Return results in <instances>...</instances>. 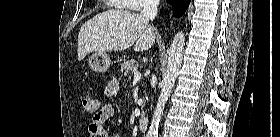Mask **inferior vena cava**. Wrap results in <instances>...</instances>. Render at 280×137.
<instances>
[{
  "instance_id": "obj_1",
  "label": "inferior vena cava",
  "mask_w": 280,
  "mask_h": 137,
  "mask_svg": "<svg viewBox=\"0 0 280 137\" xmlns=\"http://www.w3.org/2000/svg\"><path fill=\"white\" fill-rule=\"evenodd\" d=\"M159 0H146L141 16L147 19H154L158 13Z\"/></svg>"
}]
</instances>
